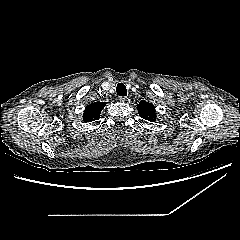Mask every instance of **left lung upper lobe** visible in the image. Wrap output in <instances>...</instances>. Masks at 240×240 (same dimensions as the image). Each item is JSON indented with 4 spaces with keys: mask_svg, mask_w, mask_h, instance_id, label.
<instances>
[{
    "mask_svg": "<svg viewBox=\"0 0 240 240\" xmlns=\"http://www.w3.org/2000/svg\"><path fill=\"white\" fill-rule=\"evenodd\" d=\"M137 109L141 118L151 122L155 120L156 113H155V107L153 104L146 101H141L137 105Z\"/></svg>",
    "mask_w": 240,
    "mask_h": 240,
    "instance_id": "1",
    "label": "left lung upper lobe"
}]
</instances>
